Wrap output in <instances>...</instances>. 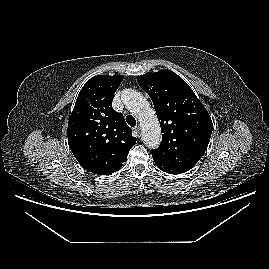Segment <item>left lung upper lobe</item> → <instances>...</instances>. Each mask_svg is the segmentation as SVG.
Instances as JSON below:
<instances>
[{
    "instance_id": "obj_1",
    "label": "left lung upper lobe",
    "mask_w": 269,
    "mask_h": 269,
    "mask_svg": "<svg viewBox=\"0 0 269 269\" xmlns=\"http://www.w3.org/2000/svg\"><path fill=\"white\" fill-rule=\"evenodd\" d=\"M150 96L161 126L162 141L152 157L166 165L191 169L205 153L213 124L190 86L176 73L160 70L137 78Z\"/></svg>"
}]
</instances>
